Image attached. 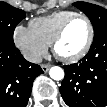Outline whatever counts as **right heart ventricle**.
Listing matches in <instances>:
<instances>
[{
    "instance_id": "1",
    "label": "right heart ventricle",
    "mask_w": 107,
    "mask_h": 107,
    "mask_svg": "<svg viewBox=\"0 0 107 107\" xmlns=\"http://www.w3.org/2000/svg\"><path fill=\"white\" fill-rule=\"evenodd\" d=\"M74 14L76 12L69 10L57 11L48 16L32 19L29 26L35 35L49 46L62 23Z\"/></svg>"
}]
</instances>
